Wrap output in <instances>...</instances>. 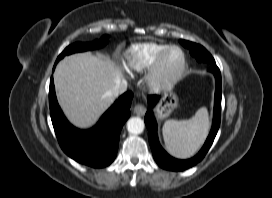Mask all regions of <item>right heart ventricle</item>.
<instances>
[{
    "label": "right heart ventricle",
    "mask_w": 272,
    "mask_h": 198,
    "mask_svg": "<svg viewBox=\"0 0 272 198\" xmlns=\"http://www.w3.org/2000/svg\"><path fill=\"white\" fill-rule=\"evenodd\" d=\"M169 44L144 42L131 46L124 57V67L130 72L142 73L151 68Z\"/></svg>",
    "instance_id": "e07e8e85"
}]
</instances>
